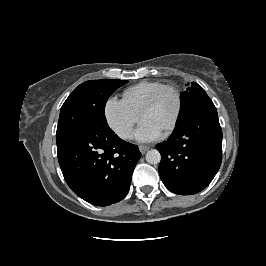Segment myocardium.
<instances>
[{"label":"myocardium","mask_w":266,"mask_h":266,"mask_svg":"<svg viewBox=\"0 0 266 266\" xmlns=\"http://www.w3.org/2000/svg\"><path fill=\"white\" fill-rule=\"evenodd\" d=\"M172 90L177 98V109L174 115V118L172 119V121L170 122V124L164 129V132H170L172 131L181 116V112H182V108H183V99H182V94L179 90V88L173 84H164L162 86H160L159 88H157L152 94L151 96L148 98V100L144 103L141 111H140V117L143 119L145 112L153 106V104L156 102V100L158 99V97L160 96V94L164 91V90Z\"/></svg>","instance_id":"myocardium-1"}]
</instances>
